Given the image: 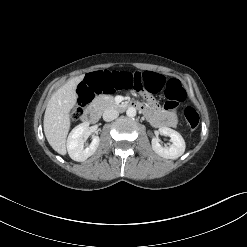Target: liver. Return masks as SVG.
Here are the masks:
<instances>
[{
    "instance_id": "6515ba94",
    "label": "liver",
    "mask_w": 247,
    "mask_h": 247,
    "mask_svg": "<svg viewBox=\"0 0 247 247\" xmlns=\"http://www.w3.org/2000/svg\"><path fill=\"white\" fill-rule=\"evenodd\" d=\"M82 76L66 82L50 98L44 115V133L51 147L59 154H66V138L70 129V111L76 104V87Z\"/></svg>"
}]
</instances>
